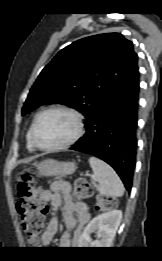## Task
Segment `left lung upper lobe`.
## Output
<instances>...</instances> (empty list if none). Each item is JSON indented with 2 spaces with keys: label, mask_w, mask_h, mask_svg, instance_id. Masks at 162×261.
<instances>
[{
  "label": "left lung upper lobe",
  "mask_w": 162,
  "mask_h": 261,
  "mask_svg": "<svg viewBox=\"0 0 162 261\" xmlns=\"http://www.w3.org/2000/svg\"><path fill=\"white\" fill-rule=\"evenodd\" d=\"M138 56L120 33L80 39L62 49L45 66L30 89L22 116L53 102L81 112L94 109L137 70Z\"/></svg>",
  "instance_id": "1"
}]
</instances>
